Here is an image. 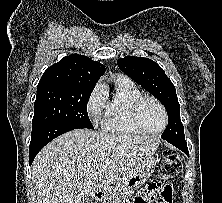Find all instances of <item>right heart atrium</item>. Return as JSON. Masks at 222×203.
Instances as JSON below:
<instances>
[{"instance_id": "1", "label": "right heart atrium", "mask_w": 222, "mask_h": 203, "mask_svg": "<svg viewBox=\"0 0 222 203\" xmlns=\"http://www.w3.org/2000/svg\"><path fill=\"white\" fill-rule=\"evenodd\" d=\"M106 104V92L100 85H98L91 93L87 103V111L94 124H97L101 119L106 108Z\"/></svg>"}]
</instances>
